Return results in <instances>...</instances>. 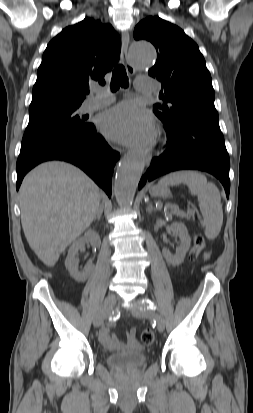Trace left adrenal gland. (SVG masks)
Returning <instances> with one entry per match:
<instances>
[{"mask_svg":"<svg viewBox=\"0 0 253 413\" xmlns=\"http://www.w3.org/2000/svg\"><path fill=\"white\" fill-rule=\"evenodd\" d=\"M152 210H153V207H152L151 204H149V206L147 207L146 211H147L148 213H151Z\"/></svg>","mask_w":253,"mask_h":413,"instance_id":"1","label":"left adrenal gland"}]
</instances>
